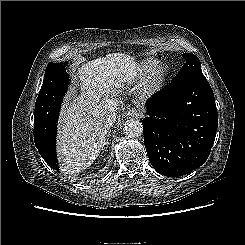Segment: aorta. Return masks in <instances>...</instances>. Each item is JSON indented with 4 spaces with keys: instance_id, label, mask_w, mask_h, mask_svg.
<instances>
[{
    "instance_id": "762f6f07",
    "label": "aorta",
    "mask_w": 245,
    "mask_h": 245,
    "mask_svg": "<svg viewBox=\"0 0 245 245\" xmlns=\"http://www.w3.org/2000/svg\"><path fill=\"white\" fill-rule=\"evenodd\" d=\"M123 130L127 136L134 138L142 134L143 126L138 120L129 119L125 122Z\"/></svg>"
}]
</instances>
